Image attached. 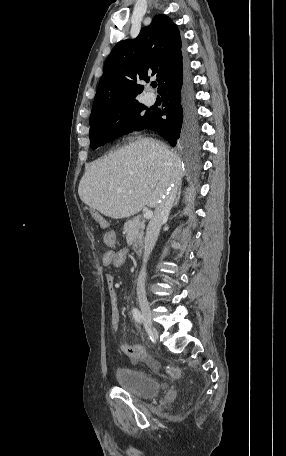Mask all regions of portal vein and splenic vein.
Instances as JSON below:
<instances>
[{"mask_svg": "<svg viewBox=\"0 0 286 456\" xmlns=\"http://www.w3.org/2000/svg\"><path fill=\"white\" fill-rule=\"evenodd\" d=\"M153 215V212L151 210L146 209L144 212V218L149 219Z\"/></svg>", "mask_w": 286, "mask_h": 456, "instance_id": "1", "label": "portal vein and splenic vein"}]
</instances>
